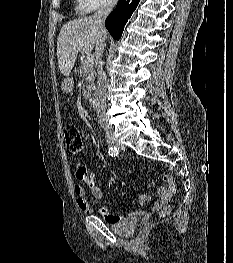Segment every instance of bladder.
Instances as JSON below:
<instances>
[{
    "label": "bladder",
    "instance_id": "bladder-1",
    "mask_svg": "<svg viewBox=\"0 0 233 263\" xmlns=\"http://www.w3.org/2000/svg\"><path fill=\"white\" fill-rule=\"evenodd\" d=\"M137 226V218L128 217L123 220L112 223L111 229L114 233L120 236H130L134 233Z\"/></svg>",
    "mask_w": 233,
    "mask_h": 263
}]
</instances>
